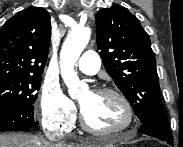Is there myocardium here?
<instances>
[{
	"instance_id": "obj_1",
	"label": "myocardium",
	"mask_w": 183,
	"mask_h": 147,
	"mask_svg": "<svg viewBox=\"0 0 183 147\" xmlns=\"http://www.w3.org/2000/svg\"><path fill=\"white\" fill-rule=\"evenodd\" d=\"M93 93L98 94V95H111L116 97L117 99L120 100L122 105L124 106L127 114V120L124 126L120 128H113V129H105V130H100L93 128L87 121L82 109L80 112V122L81 126L83 127L84 130L87 132L94 134V135H115V134H120L124 133L127 131H130L134 125H135V112L134 108L130 102V100L120 91L113 89V88H97L93 90Z\"/></svg>"
}]
</instances>
